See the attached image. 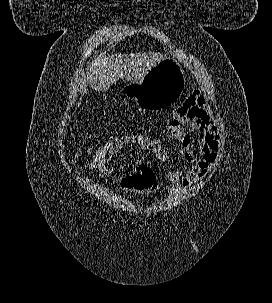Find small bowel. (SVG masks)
Masks as SVG:
<instances>
[{
  "instance_id": "1",
  "label": "small bowel",
  "mask_w": 272,
  "mask_h": 303,
  "mask_svg": "<svg viewBox=\"0 0 272 303\" xmlns=\"http://www.w3.org/2000/svg\"><path fill=\"white\" fill-rule=\"evenodd\" d=\"M167 137L180 143L182 158L189 164V168L172 169L167 172L171 194H176L182 187H190L205 177L220 152V132L213 112L199 91L192 92L176 107L167 124ZM120 140L123 147L136 146L141 150L150 151L160 162L168 160V152L161 138L130 134L121 136ZM136 171L121 175L119 182L122 188L134 190ZM112 175L111 167L100 174L105 178Z\"/></svg>"
}]
</instances>
